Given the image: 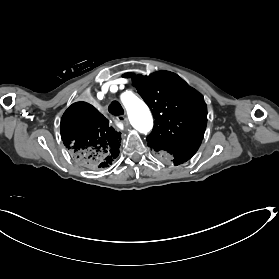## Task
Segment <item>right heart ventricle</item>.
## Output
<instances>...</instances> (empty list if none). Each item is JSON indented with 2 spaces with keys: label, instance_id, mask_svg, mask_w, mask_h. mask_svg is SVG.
<instances>
[{
  "label": "right heart ventricle",
  "instance_id": "1",
  "mask_svg": "<svg viewBox=\"0 0 279 279\" xmlns=\"http://www.w3.org/2000/svg\"><path fill=\"white\" fill-rule=\"evenodd\" d=\"M93 54L85 57L83 62L86 64H95L102 62L104 60V55L101 53L103 49H93ZM137 93L134 90H126L124 91L121 96L118 98L117 102L124 108L128 109L132 103L134 102L135 98L137 97Z\"/></svg>",
  "mask_w": 279,
  "mask_h": 279
}]
</instances>
